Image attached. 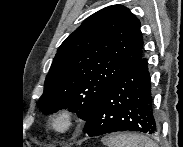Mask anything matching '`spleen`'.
Listing matches in <instances>:
<instances>
[{
  "mask_svg": "<svg viewBox=\"0 0 183 147\" xmlns=\"http://www.w3.org/2000/svg\"><path fill=\"white\" fill-rule=\"evenodd\" d=\"M102 142L107 147H158L146 136L135 133H116L105 136Z\"/></svg>",
  "mask_w": 183,
  "mask_h": 147,
  "instance_id": "obj_1",
  "label": "spleen"
}]
</instances>
